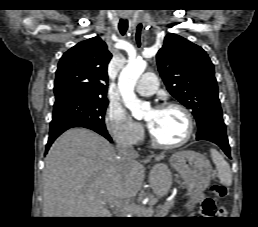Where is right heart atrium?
Wrapping results in <instances>:
<instances>
[{"mask_svg":"<svg viewBox=\"0 0 258 227\" xmlns=\"http://www.w3.org/2000/svg\"><path fill=\"white\" fill-rule=\"evenodd\" d=\"M106 128L113 140L134 146L143 138L142 127L134 122L120 106H110L106 113Z\"/></svg>","mask_w":258,"mask_h":227,"instance_id":"obj_1","label":"right heart atrium"}]
</instances>
